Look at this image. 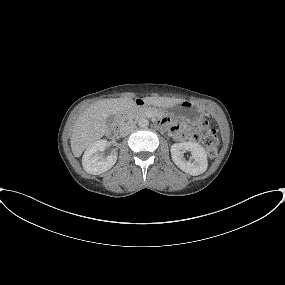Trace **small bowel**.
<instances>
[{"instance_id":"1","label":"small bowel","mask_w":285,"mask_h":285,"mask_svg":"<svg viewBox=\"0 0 285 285\" xmlns=\"http://www.w3.org/2000/svg\"><path fill=\"white\" fill-rule=\"evenodd\" d=\"M177 128H173V130H176ZM174 138L175 139H178V140H184V139H186L187 138V135L185 134V133H181V132H176V133H174Z\"/></svg>"}]
</instances>
